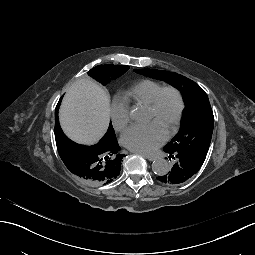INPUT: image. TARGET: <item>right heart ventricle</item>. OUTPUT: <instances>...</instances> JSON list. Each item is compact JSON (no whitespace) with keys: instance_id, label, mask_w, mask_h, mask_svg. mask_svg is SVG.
Returning <instances> with one entry per match:
<instances>
[{"instance_id":"obj_1","label":"right heart ventricle","mask_w":255,"mask_h":255,"mask_svg":"<svg viewBox=\"0 0 255 255\" xmlns=\"http://www.w3.org/2000/svg\"><path fill=\"white\" fill-rule=\"evenodd\" d=\"M161 86L162 85L160 83L153 80H142L122 95L121 103L126 107L139 102H143L148 105L154 93Z\"/></svg>"}]
</instances>
